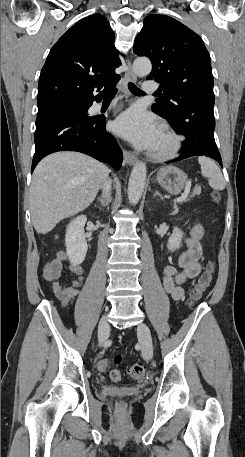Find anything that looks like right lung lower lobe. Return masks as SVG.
Returning a JSON list of instances; mask_svg holds the SVG:
<instances>
[{"label": "right lung lower lobe", "instance_id": "1", "mask_svg": "<svg viewBox=\"0 0 245 457\" xmlns=\"http://www.w3.org/2000/svg\"><path fill=\"white\" fill-rule=\"evenodd\" d=\"M94 100L97 98L87 101L83 109L56 108L38 113L32 172L43 157L57 151L82 152L120 169L122 152L105 130V116L87 114Z\"/></svg>", "mask_w": 245, "mask_h": 457}]
</instances>
